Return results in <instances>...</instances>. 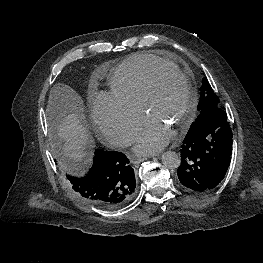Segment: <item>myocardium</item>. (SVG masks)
<instances>
[{"label":"myocardium","mask_w":263,"mask_h":263,"mask_svg":"<svg viewBox=\"0 0 263 263\" xmlns=\"http://www.w3.org/2000/svg\"><path fill=\"white\" fill-rule=\"evenodd\" d=\"M165 75H171L181 79L185 83L187 88V104L184 112L177 120L174 130L175 133H179L190 123V121L194 117L198 105V96L190 78L186 74L182 73L178 68L162 66L157 68L152 73L145 89L141 108L145 115H148L158 82Z\"/></svg>","instance_id":"1"}]
</instances>
